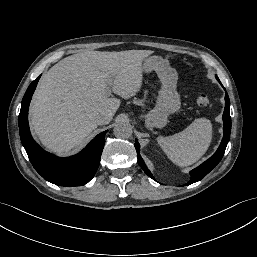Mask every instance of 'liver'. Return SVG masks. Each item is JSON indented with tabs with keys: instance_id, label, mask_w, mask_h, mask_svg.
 <instances>
[{
	"instance_id": "6515ba94",
	"label": "liver",
	"mask_w": 257,
	"mask_h": 257,
	"mask_svg": "<svg viewBox=\"0 0 257 257\" xmlns=\"http://www.w3.org/2000/svg\"><path fill=\"white\" fill-rule=\"evenodd\" d=\"M152 53L81 52L50 68L41 77L30 106L31 127L42 144L66 153L97 128L98 115L110 114L112 119L121 101L109 98L106 88L110 86L124 99L135 96L142 86V62Z\"/></svg>"
}]
</instances>
